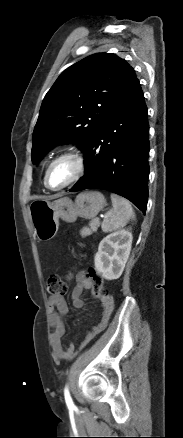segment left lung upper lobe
I'll use <instances>...</instances> for the list:
<instances>
[{"label":"left lung upper lobe","instance_id":"left-lung-upper-lobe-1","mask_svg":"<svg viewBox=\"0 0 183 438\" xmlns=\"http://www.w3.org/2000/svg\"><path fill=\"white\" fill-rule=\"evenodd\" d=\"M137 80L112 53H96L67 68L43 99L33 132L32 160L60 142L85 150L92 135Z\"/></svg>","mask_w":183,"mask_h":438}]
</instances>
